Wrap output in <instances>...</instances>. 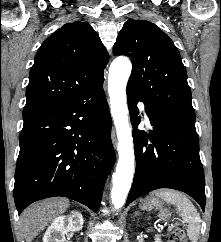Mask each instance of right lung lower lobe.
Wrapping results in <instances>:
<instances>
[{
    "label": "right lung lower lobe",
    "instance_id": "right-lung-lower-lobe-1",
    "mask_svg": "<svg viewBox=\"0 0 221 242\" xmlns=\"http://www.w3.org/2000/svg\"><path fill=\"white\" fill-rule=\"evenodd\" d=\"M103 82L62 106L23 116L14 186L18 214L54 196L99 209L115 162Z\"/></svg>",
    "mask_w": 221,
    "mask_h": 242
}]
</instances>
